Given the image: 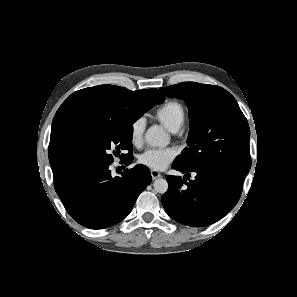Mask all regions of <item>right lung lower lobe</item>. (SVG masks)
Listing matches in <instances>:
<instances>
[{"label": "right lung lower lobe", "instance_id": "obj_1", "mask_svg": "<svg viewBox=\"0 0 297 297\" xmlns=\"http://www.w3.org/2000/svg\"><path fill=\"white\" fill-rule=\"evenodd\" d=\"M109 165L77 169L55 187L70 216L90 229H102L122 221L152 180L146 166L136 165L121 176L112 177Z\"/></svg>", "mask_w": 297, "mask_h": 297}]
</instances>
